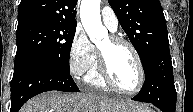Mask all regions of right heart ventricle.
<instances>
[{"label": "right heart ventricle", "mask_w": 193, "mask_h": 112, "mask_svg": "<svg viewBox=\"0 0 193 112\" xmlns=\"http://www.w3.org/2000/svg\"><path fill=\"white\" fill-rule=\"evenodd\" d=\"M86 81L96 87V88H105L106 84L103 81L100 72H99V67H98V59H97V55H96V60L92 66V68L90 69V71L88 72L87 76H86Z\"/></svg>", "instance_id": "1"}]
</instances>
